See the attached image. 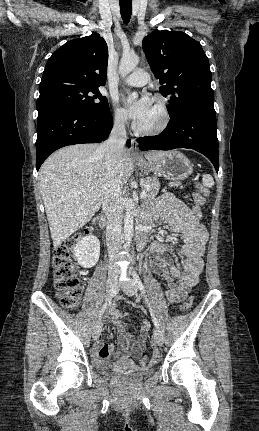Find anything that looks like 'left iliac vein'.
<instances>
[{
    "instance_id": "left-iliac-vein-1",
    "label": "left iliac vein",
    "mask_w": 259,
    "mask_h": 431,
    "mask_svg": "<svg viewBox=\"0 0 259 431\" xmlns=\"http://www.w3.org/2000/svg\"><path fill=\"white\" fill-rule=\"evenodd\" d=\"M123 290L128 296H134L138 290L135 280L130 279L127 284L123 285ZM153 339L158 346H162L164 343L163 334L158 328L154 330Z\"/></svg>"
}]
</instances>
